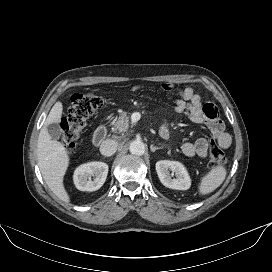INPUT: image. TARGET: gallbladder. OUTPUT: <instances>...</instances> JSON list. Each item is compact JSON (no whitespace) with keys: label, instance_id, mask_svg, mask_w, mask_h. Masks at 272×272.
I'll list each match as a JSON object with an SVG mask.
<instances>
[{"label":"gallbladder","instance_id":"bac80fb5","mask_svg":"<svg viewBox=\"0 0 272 272\" xmlns=\"http://www.w3.org/2000/svg\"><path fill=\"white\" fill-rule=\"evenodd\" d=\"M47 131L49 135L51 136V138L55 140L59 139L62 134V129L60 128L58 124H55V123L48 125Z\"/></svg>","mask_w":272,"mask_h":272}]
</instances>
